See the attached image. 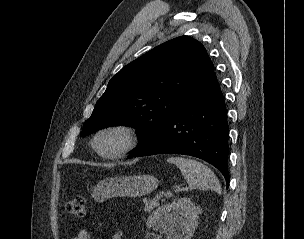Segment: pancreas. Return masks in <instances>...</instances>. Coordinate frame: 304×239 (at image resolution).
<instances>
[{
  "instance_id": "pancreas-1",
  "label": "pancreas",
  "mask_w": 304,
  "mask_h": 239,
  "mask_svg": "<svg viewBox=\"0 0 304 239\" xmlns=\"http://www.w3.org/2000/svg\"><path fill=\"white\" fill-rule=\"evenodd\" d=\"M161 196H157V198L153 199V200H150V201H147L145 203V206H144V211L145 212H151L154 208L158 207L159 206V199H160Z\"/></svg>"
}]
</instances>
